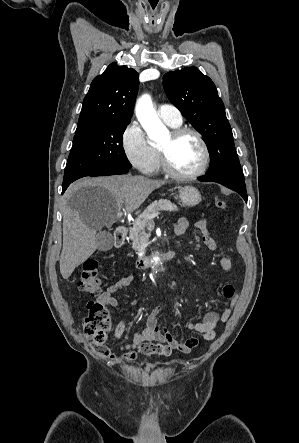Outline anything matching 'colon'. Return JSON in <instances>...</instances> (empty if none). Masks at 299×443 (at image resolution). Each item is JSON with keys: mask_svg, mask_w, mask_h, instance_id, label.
Wrapping results in <instances>:
<instances>
[{"mask_svg": "<svg viewBox=\"0 0 299 443\" xmlns=\"http://www.w3.org/2000/svg\"><path fill=\"white\" fill-rule=\"evenodd\" d=\"M215 207L219 211H225L228 203L222 198L215 200ZM78 288L89 295H97L101 291V280L98 275V263L94 260L86 261L78 279ZM87 315L84 319V332L93 342L98 353L107 357L109 354L105 347L108 339L111 321L108 310L99 302H89Z\"/></svg>", "mask_w": 299, "mask_h": 443, "instance_id": "obj_1", "label": "colon"}]
</instances>
